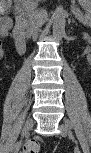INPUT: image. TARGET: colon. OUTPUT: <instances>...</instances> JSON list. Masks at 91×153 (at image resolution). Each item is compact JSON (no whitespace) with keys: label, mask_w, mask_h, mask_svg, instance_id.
I'll return each mask as SVG.
<instances>
[{"label":"colon","mask_w":91,"mask_h":153,"mask_svg":"<svg viewBox=\"0 0 91 153\" xmlns=\"http://www.w3.org/2000/svg\"><path fill=\"white\" fill-rule=\"evenodd\" d=\"M1 28L8 31L10 27V20L6 18L1 19ZM40 150V141L39 140H29L25 145L23 146V152L24 153H37Z\"/></svg>","instance_id":"5ec220e1"}]
</instances>
